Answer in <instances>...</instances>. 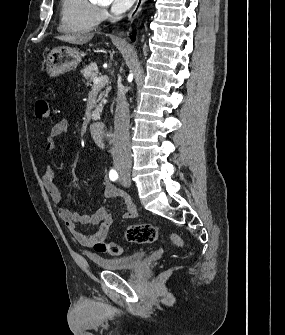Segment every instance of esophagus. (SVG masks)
Returning a JSON list of instances; mask_svg holds the SVG:
<instances>
[{
  "label": "esophagus",
  "instance_id": "1",
  "mask_svg": "<svg viewBox=\"0 0 285 335\" xmlns=\"http://www.w3.org/2000/svg\"><path fill=\"white\" fill-rule=\"evenodd\" d=\"M145 2V0H137L135 7L131 10V12L128 14V21L130 23L133 22V20L135 19V17L138 15V13L140 12L143 3Z\"/></svg>",
  "mask_w": 285,
  "mask_h": 335
}]
</instances>
